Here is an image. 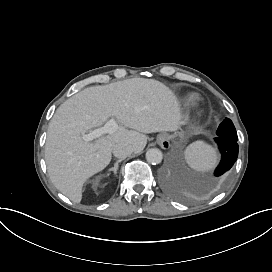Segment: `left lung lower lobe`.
Masks as SVG:
<instances>
[{
    "mask_svg": "<svg viewBox=\"0 0 272 272\" xmlns=\"http://www.w3.org/2000/svg\"><path fill=\"white\" fill-rule=\"evenodd\" d=\"M215 141L217 142L222 154L221 162L214 173L216 177H219L231 169L237 159L239 147L237 141L221 136L216 137Z\"/></svg>",
    "mask_w": 272,
    "mask_h": 272,
    "instance_id": "0a47b994",
    "label": "left lung lower lobe"
}]
</instances>
